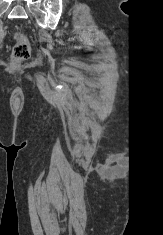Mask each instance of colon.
<instances>
[{
    "mask_svg": "<svg viewBox=\"0 0 163 235\" xmlns=\"http://www.w3.org/2000/svg\"><path fill=\"white\" fill-rule=\"evenodd\" d=\"M16 44L13 48L12 60L14 63H20L30 56L31 47L24 34L18 31L13 32Z\"/></svg>",
    "mask_w": 163,
    "mask_h": 235,
    "instance_id": "1",
    "label": "colon"
}]
</instances>
